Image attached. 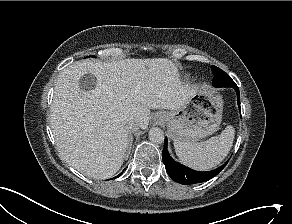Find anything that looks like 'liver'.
Segmentation results:
<instances>
[{
    "mask_svg": "<svg viewBox=\"0 0 292 224\" xmlns=\"http://www.w3.org/2000/svg\"><path fill=\"white\" fill-rule=\"evenodd\" d=\"M96 78L85 91L79 81ZM198 90L184 83L167 58L79 61L65 68L54 87L50 123L61 157L87 177L106 179L121 168L128 148L123 122L149 124L150 109L177 110Z\"/></svg>",
    "mask_w": 292,
    "mask_h": 224,
    "instance_id": "1",
    "label": "liver"
}]
</instances>
